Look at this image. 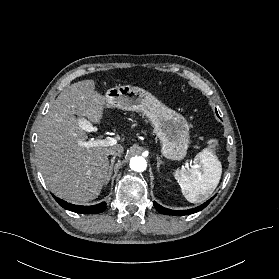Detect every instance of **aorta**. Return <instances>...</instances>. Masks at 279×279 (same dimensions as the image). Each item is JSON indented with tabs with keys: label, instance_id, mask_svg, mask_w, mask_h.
I'll list each match as a JSON object with an SVG mask.
<instances>
[{
	"label": "aorta",
	"instance_id": "aorta-1",
	"mask_svg": "<svg viewBox=\"0 0 279 279\" xmlns=\"http://www.w3.org/2000/svg\"><path fill=\"white\" fill-rule=\"evenodd\" d=\"M147 167L146 160L141 156L132 157L130 160V168L136 172H143Z\"/></svg>",
	"mask_w": 279,
	"mask_h": 279
}]
</instances>
